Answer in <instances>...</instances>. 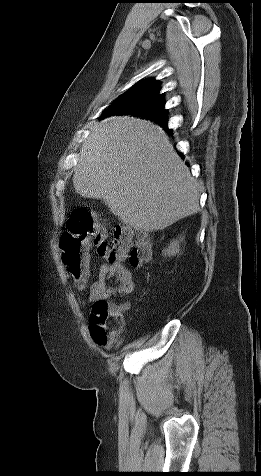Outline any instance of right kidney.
Returning <instances> with one entry per match:
<instances>
[{"mask_svg":"<svg viewBox=\"0 0 261 476\" xmlns=\"http://www.w3.org/2000/svg\"><path fill=\"white\" fill-rule=\"evenodd\" d=\"M180 241H183V238H179V240H173L170 242L167 248L163 250V254L165 256H174L180 252Z\"/></svg>","mask_w":261,"mask_h":476,"instance_id":"right-kidney-1","label":"right kidney"}]
</instances>
